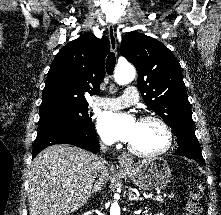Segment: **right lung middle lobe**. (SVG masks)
Listing matches in <instances>:
<instances>
[{
	"label": "right lung middle lobe",
	"instance_id": "1",
	"mask_svg": "<svg viewBox=\"0 0 221 215\" xmlns=\"http://www.w3.org/2000/svg\"><path fill=\"white\" fill-rule=\"evenodd\" d=\"M87 107L41 115L38 122V132L68 126L85 127L92 124L91 114H88Z\"/></svg>",
	"mask_w": 221,
	"mask_h": 215
}]
</instances>
